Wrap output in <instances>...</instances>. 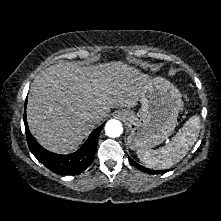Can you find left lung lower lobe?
I'll use <instances>...</instances> for the list:
<instances>
[{
    "label": "left lung lower lobe",
    "instance_id": "0a47b994",
    "mask_svg": "<svg viewBox=\"0 0 221 221\" xmlns=\"http://www.w3.org/2000/svg\"><path fill=\"white\" fill-rule=\"evenodd\" d=\"M129 160H130V162H131L136 168H138L139 170H141V171H143V172H146V173L159 174V173H165V172L169 171V170H163V171H161V170H150V169H148V168H145V167L139 165L138 163H136L135 161H133L130 157H129Z\"/></svg>",
    "mask_w": 221,
    "mask_h": 221
}]
</instances>
